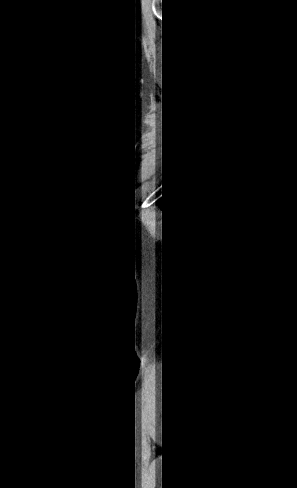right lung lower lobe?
<instances>
[{"label":"right lung lower lobe","instance_id":"98d812e1","mask_svg":"<svg viewBox=\"0 0 297 488\" xmlns=\"http://www.w3.org/2000/svg\"><path fill=\"white\" fill-rule=\"evenodd\" d=\"M163 199H164V196L162 195V201H163Z\"/></svg>","mask_w":297,"mask_h":488}]
</instances>
